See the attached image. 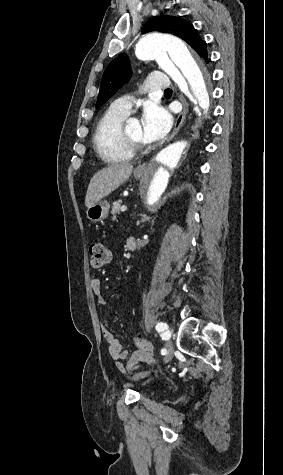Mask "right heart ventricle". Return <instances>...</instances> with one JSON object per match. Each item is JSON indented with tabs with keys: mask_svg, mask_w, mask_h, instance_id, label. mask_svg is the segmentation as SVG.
<instances>
[{
	"mask_svg": "<svg viewBox=\"0 0 283 475\" xmlns=\"http://www.w3.org/2000/svg\"><path fill=\"white\" fill-rule=\"evenodd\" d=\"M128 113L129 111L123 110L111 104L99 117L96 122L93 133L94 147L96 148L99 154L101 151L105 150L106 146L111 145L118 137L120 130L123 127L124 122L128 116ZM102 159L105 162L127 161L125 159L114 157H102Z\"/></svg>",
	"mask_w": 283,
	"mask_h": 475,
	"instance_id": "1",
	"label": "right heart ventricle"
}]
</instances>
